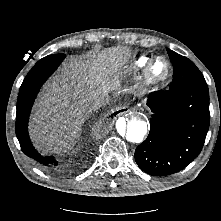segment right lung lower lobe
Wrapping results in <instances>:
<instances>
[{
    "label": "right lung lower lobe",
    "instance_id": "obj_1",
    "mask_svg": "<svg viewBox=\"0 0 221 221\" xmlns=\"http://www.w3.org/2000/svg\"><path fill=\"white\" fill-rule=\"evenodd\" d=\"M64 58V54H54L39 60L25 77L17 100L15 131L21 149L45 170L57 171L61 169V162L53 156H42L34 149L28 134V118L39 89Z\"/></svg>",
    "mask_w": 221,
    "mask_h": 221
}]
</instances>
